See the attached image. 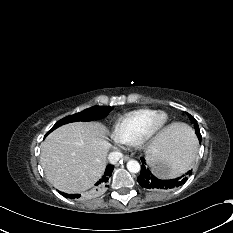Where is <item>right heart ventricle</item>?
<instances>
[{
    "label": "right heart ventricle",
    "instance_id": "e07e8e85",
    "mask_svg": "<svg viewBox=\"0 0 233 233\" xmlns=\"http://www.w3.org/2000/svg\"><path fill=\"white\" fill-rule=\"evenodd\" d=\"M155 112L153 109L141 108L124 114L113 125V139L120 144H134L145 123Z\"/></svg>",
    "mask_w": 233,
    "mask_h": 233
}]
</instances>
